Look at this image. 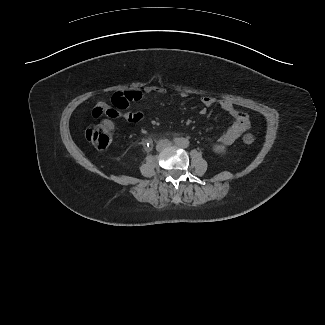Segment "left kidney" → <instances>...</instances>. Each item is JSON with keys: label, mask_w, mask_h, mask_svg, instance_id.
<instances>
[{"label": "left kidney", "mask_w": 325, "mask_h": 325, "mask_svg": "<svg viewBox=\"0 0 325 325\" xmlns=\"http://www.w3.org/2000/svg\"><path fill=\"white\" fill-rule=\"evenodd\" d=\"M213 151L218 154H224L226 152V148L224 146L215 145L213 147Z\"/></svg>", "instance_id": "obj_1"}]
</instances>
